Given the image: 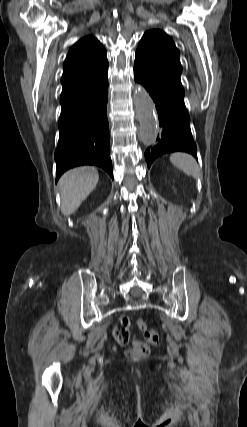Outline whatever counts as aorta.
<instances>
[{"label":"aorta","instance_id":"obj_1","mask_svg":"<svg viewBox=\"0 0 247 427\" xmlns=\"http://www.w3.org/2000/svg\"><path fill=\"white\" fill-rule=\"evenodd\" d=\"M133 99L140 123L141 140L143 144L151 146L155 144L159 130L155 104L148 92L139 84L134 88Z\"/></svg>","mask_w":247,"mask_h":427}]
</instances>
